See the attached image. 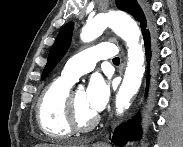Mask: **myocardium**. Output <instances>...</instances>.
I'll use <instances>...</instances> for the list:
<instances>
[{"instance_id": "f54148a6", "label": "myocardium", "mask_w": 183, "mask_h": 147, "mask_svg": "<svg viewBox=\"0 0 183 147\" xmlns=\"http://www.w3.org/2000/svg\"><path fill=\"white\" fill-rule=\"evenodd\" d=\"M67 120L72 130L76 132H88L98 124L99 116L96 114L95 117L90 121L82 123L77 115V110L74 102V93H71L67 99Z\"/></svg>"}]
</instances>
